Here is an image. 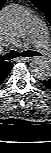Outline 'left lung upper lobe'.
<instances>
[{
    "label": "left lung upper lobe",
    "instance_id": "left-lung-upper-lobe-1",
    "mask_svg": "<svg viewBox=\"0 0 51 153\" xmlns=\"http://www.w3.org/2000/svg\"><path fill=\"white\" fill-rule=\"evenodd\" d=\"M47 17L51 24V0H30Z\"/></svg>",
    "mask_w": 51,
    "mask_h": 153
}]
</instances>
